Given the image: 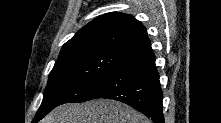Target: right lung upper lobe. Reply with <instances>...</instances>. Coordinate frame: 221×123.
Segmentation results:
<instances>
[{
	"instance_id": "right-lung-upper-lobe-1",
	"label": "right lung upper lobe",
	"mask_w": 221,
	"mask_h": 123,
	"mask_svg": "<svg viewBox=\"0 0 221 123\" xmlns=\"http://www.w3.org/2000/svg\"><path fill=\"white\" fill-rule=\"evenodd\" d=\"M85 49H108L127 56L151 50L144 26L133 16L106 13L80 29L67 41L59 57Z\"/></svg>"
}]
</instances>
